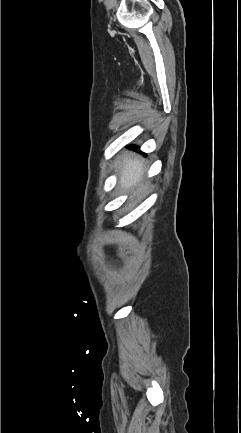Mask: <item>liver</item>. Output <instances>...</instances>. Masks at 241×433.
Wrapping results in <instances>:
<instances>
[{
  "mask_svg": "<svg viewBox=\"0 0 241 433\" xmlns=\"http://www.w3.org/2000/svg\"><path fill=\"white\" fill-rule=\"evenodd\" d=\"M119 183L125 190L140 191L143 188L142 180L144 176L143 161L139 158L126 157L119 165Z\"/></svg>",
  "mask_w": 241,
  "mask_h": 433,
  "instance_id": "6515ba94",
  "label": "liver"
}]
</instances>
